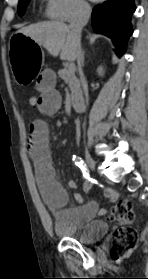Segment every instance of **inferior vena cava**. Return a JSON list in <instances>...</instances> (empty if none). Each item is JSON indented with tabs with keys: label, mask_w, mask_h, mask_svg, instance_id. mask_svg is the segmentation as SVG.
Returning a JSON list of instances; mask_svg holds the SVG:
<instances>
[{
	"label": "inferior vena cava",
	"mask_w": 148,
	"mask_h": 279,
	"mask_svg": "<svg viewBox=\"0 0 148 279\" xmlns=\"http://www.w3.org/2000/svg\"><path fill=\"white\" fill-rule=\"evenodd\" d=\"M91 15V8L88 4H80L77 7V10L75 12V15L73 19L70 22L69 28L72 32V34L75 36L77 40V50H76V59H77V65H78V71L80 74V79L83 87V91L85 94L86 102H88V89H87V83L84 77V74L82 72V64H81V33L83 27L87 24L89 18ZM85 125V124H84Z\"/></svg>",
	"instance_id": "inferior-vena-cava-1"
}]
</instances>
